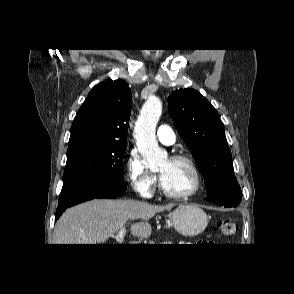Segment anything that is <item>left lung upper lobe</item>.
Masks as SVG:
<instances>
[{"instance_id":"1","label":"left lung upper lobe","mask_w":294,"mask_h":294,"mask_svg":"<svg viewBox=\"0 0 294 294\" xmlns=\"http://www.w3.org/2000/svg\"><path fill=\"white\" fill-rule=\"evenodd\" d=\"M168 103L173 124L203 174L207 198L242 197L224 126L212 104L189 88L171 93Z\"/></svg>"}]
</instances>
